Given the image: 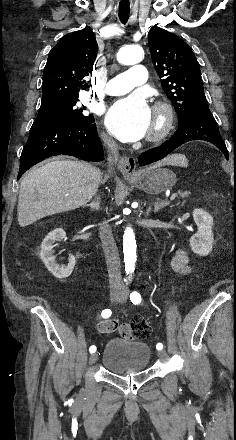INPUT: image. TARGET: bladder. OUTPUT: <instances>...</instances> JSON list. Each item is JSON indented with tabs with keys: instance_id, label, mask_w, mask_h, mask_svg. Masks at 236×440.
Wrapping results in <instances>:
<instances>
[{
	"instance_id": "31cf9c89",
	"label": "bladder",
	"mask_w": 236,
	"mask_h": 440,
	"mask_svg": "<svg viewBox=\"0 0 236 440\" xmlns=\"http://www.w3.org/2000/svg\"><path fill=\"white\" fill-rule=\"evenodd\" d=\"M151 356L147 343L115 337L106 343L101 361L112 373H139L148 369Z\"/></svg>"
}]
</instances>
